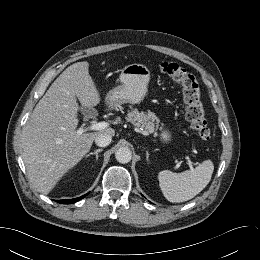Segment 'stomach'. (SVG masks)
Instances as JSON below:
<instances>
[{"mask_svg": "<svg viewBox=\"0 0 260 260\" xmlns=\"http://www.w3.org/2000/svg\"><path fill=\"white\" fill-rule=\"evenodd\" d=\"M119 79L121 85L107 93V103L111 106H119L124 103L137 104L146 96L150 70L143 64H130L122 69ZM160 139L163 143H169L172 140L171 132L161 129Z\"/></svg>", "mask_w": 260, "mask_h": 260, "instance_id": "obj_1", "label": "stomach"}]
</instances>
